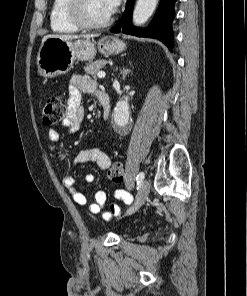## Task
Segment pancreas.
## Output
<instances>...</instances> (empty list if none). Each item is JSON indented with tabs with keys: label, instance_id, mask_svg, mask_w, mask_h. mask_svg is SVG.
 Segmentation results:
<instances>
[{
	"label": "pancreas",
	"instance_id": "1",
	"mask_svg": "<svg viewBox=\"0 0 247 296\" xmlns=\"http://www.w3.org/2000/svg\"><path fill=\"white\" fill-rule=\"evenodd\" d=\"M107 62L105 60H97L92 63L86 64L84 66V70L88 75H91L92 77L96 78L97 73L100 71V69L106 64Z\"/></svg>",
	"mask_w": 247,
	"mask_h": 296
}]
</instances>
